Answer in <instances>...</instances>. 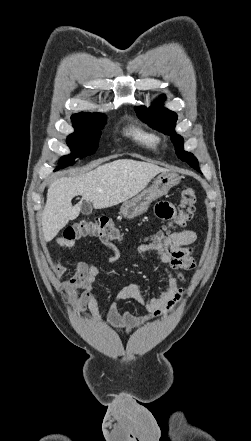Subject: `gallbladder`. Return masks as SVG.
<instances>
[{"mask_svg":"<svg viewBox=\"0 0 251 441\" xmlns=\"http://www.w3.org/2000/svg\"><path fill=\"white\" fill-rule=\"evenodd\" d=\"M93 207L91 202L84 201L80 203V211L83 215H90L92 213Z\"/></svg>","mask_w":251,"mask_h":441,"instance_id":"1","label":"gallbladder"}]
</instances>
